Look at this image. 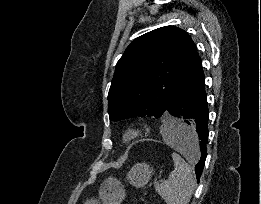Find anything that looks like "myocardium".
<instances>
[{
  "mask_svg": "<svg viewBox=\"0 0 261 204\" xmlns=\"http://www.w3.org/2000/svg\"><path fill=\"white\" fill-rule=\"evenodd\" d=\"M144 134V128L141 126H130L128 127L124 134H123V139L127 142H132L140 137H142Z\"/></svg>",
  "mask_w": 261,
  "mask_h": 204,
  "instance_id": "f54148a6",
  "label": "myocardium"
}]
</instances>
